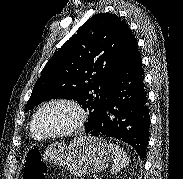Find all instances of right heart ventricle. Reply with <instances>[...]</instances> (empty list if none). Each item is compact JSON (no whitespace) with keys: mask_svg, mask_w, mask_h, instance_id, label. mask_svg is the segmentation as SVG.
<instances>
[{"mask_svg":"<svg viewBox=\"0 0 183 179\" xmlns=\"http://www.w3.org/2000/svg\"><path fill=\"white\" fill-rule=\"evenodd\" d=\"M36 115H37V112L35 113V115H34V117L32 119V122H31V125H30V132H31V135H32L33 138L40 139L41 136L38 134V132L36 130V126H35Z\"/></svg>","mask_w":183,"mask_h":179,"instance_id":"1","label":"right heart ventricle"}]
</instances>
